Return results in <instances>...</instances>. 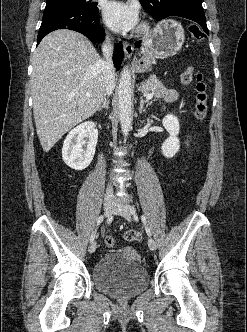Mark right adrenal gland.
Masks as SVG:
<instances>
[{"mask_svg": "<svg viewBox=\"0 0 247 332\" xmlns=\"http://www.w3.org/2000/svg\"><path fill=\"white\" fill-rule=\"evenodd\" d=\"M109 99H105L103 104L99 107L98 111L102 110V109H106L108 110L109 109Z\"/></svg>", "mask_w": 247, "mask_h": 332, "instance_id": "1", "label": "right adrenal gland"}]
</instances>
